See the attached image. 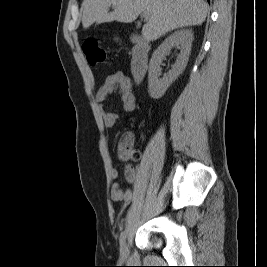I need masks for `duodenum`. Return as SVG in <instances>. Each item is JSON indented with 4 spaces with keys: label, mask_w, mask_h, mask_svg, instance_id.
<instances>
[{
    "label": "duodenum",
    "mask_w": 267,
    "mask_h": 267,
    "mask_svg": "<svg viewBox=\"0 0 267 267\" xmlns=\"http://www.w3.org/2000/svg\"><path fill=\"white\" fill-rule=\"evenodd\" d=\"M134 47L131 54V73L136 81H141L148 69L149 44L142 38H133Z\"/></svg>",
    "instance_id": "410a0bca"
}]
</instances>
